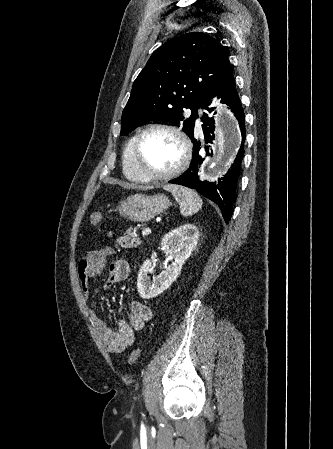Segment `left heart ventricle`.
<instances>
[{"instance_id": "obj_1", "label": "left heart ventricle", "mask_w": 333, "mask_h": 449, "mask_svg": "<svg viewBox=\"0 0 333 449\" xmlns=\"http://www.w3.org/2000/svg\"><path fill=\"white\" fill-rule=\"evenodd\" d=\"M178 140L164 131L148 133L141 144L140 164L150 174H163L172 170L181 159Z\"/></svg>"}]
</instances>
